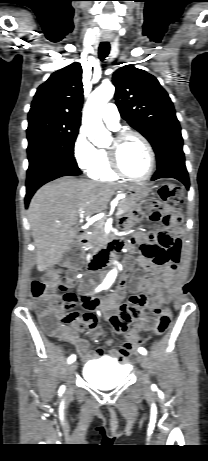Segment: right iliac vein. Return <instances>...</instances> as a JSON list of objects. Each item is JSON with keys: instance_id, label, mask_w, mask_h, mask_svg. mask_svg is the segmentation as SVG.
Returning a JSON list of instances; mask_svg holds the SVG:
<instances>
[{"instance_id": "63e3f726", "label": "right iliac vein", "mask_w": 208, "mask_h": 461, "mask_svg": "<svg viewBox=\"0 0 208 461\" xmlns=\"http://www.w3.org/2000/svg\"><path fill=\"white\" fill-rule=\"evenodd\" d=\"M77 364L75 362L71 363L69 366V373L72 374L76 370Z\"/></svg>"}]
</instances>
